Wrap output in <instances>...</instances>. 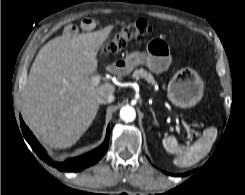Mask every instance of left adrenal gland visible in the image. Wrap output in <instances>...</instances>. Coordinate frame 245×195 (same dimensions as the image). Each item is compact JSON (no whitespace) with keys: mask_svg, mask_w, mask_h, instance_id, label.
Listing matches in <instances>:
<instances>
[{"mask_svg":"<svg viewBox=\"0 0 245 195\" xmlns=\"http://www.w3.org/2000/svg\"><path fill=\"white\" fill-rule=\"evenodd\" d=\"M150 112H151L152 115H153V123H154L156 126H159V123H158V121H157V119H156L155 112H154V110H153L152 108H150Z\"/></svg>","mask_w":245,"mask_h":195,"instance_id":"left-adrenal-gland-1","label":"left adrenal gland"}]
</instances>
